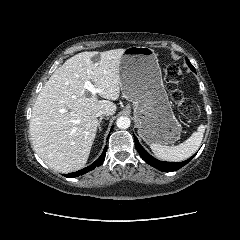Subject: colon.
Segmentation results:
<instances>
[{
    "label": "colon",
    "instance_id": "5ec220e1",
    "mask_svg": "<svg viewBox=\"0 0 240 240\" xmlns=\"http://www.w3.org/2000/svg\"><path fill=\"white\" fill-rule=\"evenodd\" d=\"M181 80L182 70L180 65L174 62L168 63L165 68V82L174 103L183 116L193 120L198 119L201 115L200 108L179 90Z\"/></svg>",
    "mask_w": 240,
    "mask_h": 240
}]
</instances>
